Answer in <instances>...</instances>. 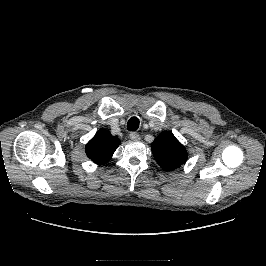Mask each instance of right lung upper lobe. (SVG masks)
<instances>
[{"label":"right lung upper lobe","mask_w":266,"mask_h":266,"mask_svg":"<svg viewBox=\"0 0 266 266\" xmlns=\"http://www.w3.org/2000/svg\"><path fill=\"white\" fill-rule=\"evenodd\" d=\"M120 144L117 136H112L107 130L100 129L86 144V154L97 164H104L110 160Z\"/></svg>","instance_id":"1"}]
</instances>
